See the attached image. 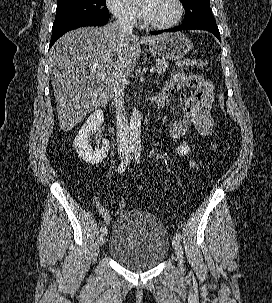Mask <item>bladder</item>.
Wrapping results in <instances>:
<instances>
[{
  "label": "bladder",
  "instance_id": "1",
  "mask_svg": "<svg viewBox=\"0 0 272 303\" xmlns=\"http://www.w3.org/2000/svg\"><path fill=\"white\" fill-rule=\"evenodd\" d=\"M169 248L167 229L157 216L146 211L127 210L113 224L108 253L124 267L142 271L162 263Z\"/></svg>",
  "mask_w": 272,
  "mask_h": 303
}]
</instances>
